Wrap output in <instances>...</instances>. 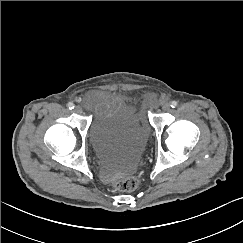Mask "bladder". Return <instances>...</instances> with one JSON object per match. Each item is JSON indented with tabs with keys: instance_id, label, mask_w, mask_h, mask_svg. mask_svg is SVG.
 Here are the masks:
<instances>
[{
	"instance_id": "1",
	"label": "bladder",
	"mask_w": 243,
	"mask_h": 243,
	"mask_svg": "<svg viewBox=\"0 0 243 243\" xmlns=\"http://www.w3.org/2000/svg\"><path fill=\"white\" fill-rule=\"evenodd\" d=\"M88 136L94 151L107 158L117 174L124 175L135 169L149 133L133 104L122 100L94 114Z\"/></svg>"
}]
</instances>
